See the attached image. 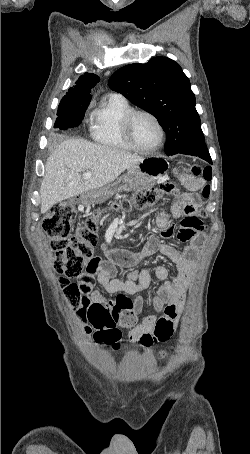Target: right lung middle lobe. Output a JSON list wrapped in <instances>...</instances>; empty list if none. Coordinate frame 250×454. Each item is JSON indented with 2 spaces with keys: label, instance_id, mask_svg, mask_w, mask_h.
Returning <instances> with one entry per match:
<instances>
[{
  "label": "right lung middle lobe",
  "instance_id": "dd1d6c3e",
  "mask_svg": "<svg viewBox=\"0 0 250 454\" xmlns=\"http://www.w3.org/2000/svg\"><path fill=\"white\" fill-rule=\"evenodd\" d=\"M90 102H78L70 104H59L57 119L54 128L67 130L78 126L84 118L85 111Z\"/></svg>",
  "mask_w": 250,
  "mask_h": 454
}]
</instances>
